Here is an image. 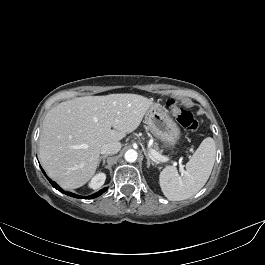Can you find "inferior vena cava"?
I'll return each mask as SVG.
<instances>
[{"instance_id":"obj_1","label":"inferior vena cava","mask_w":265,"mask_h":265,"mask_svg":"<svg viewBox=\"0 0 265 265\" xmlns=\"http://www.w3.org/2000/svg\"><path fill=\"white\" fill-rule=\"evenodd\" d=\"M121 148L120 143L118 142H110L106 143L101 147V154H115Z\"/></svg>"}]
</instances>
